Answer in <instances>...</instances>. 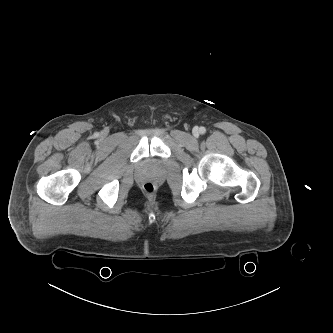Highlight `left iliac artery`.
I'll use <instances>...</instances> for the list:
<instances>
[{"instance_id":"44dca946","label":"left iliac artery","mask_w":333,"mask_h":333,"mask_svg":"<svg viewBox=\"0 0 333 333\" xmlns=\"http://www.w3.org/2000/svg\"><path fill=\"white\" fill-rule=\"evenodd\" d=\"M199 131H200L201 134H204L206 132V129H205V127H200Z\"/></svg>"}]
</instances>
